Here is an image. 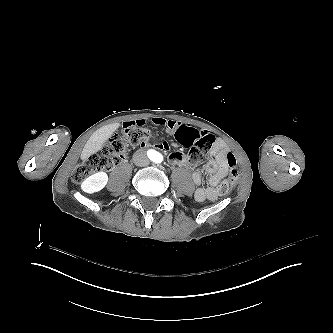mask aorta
I'll use <instances>...</instances> for the list:
<instances>
[{
	"mask_svg": "<svg viewBox=\"0 0 333 333\" xmlns=\"http://www.w3.org/2000/svg\"><path fill=\"white\" fill-rule=\"evenodd\" d=\"M152 161L155 163H161L163 161V155L156 151L152 157Z\"/></svg>",
	"mask_w": 333,
	"mask_h": 333,
	"instance_id": "1",
	"label": "aorta"
}]
</instances>
